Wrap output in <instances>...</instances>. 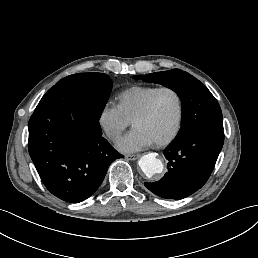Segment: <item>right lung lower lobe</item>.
<instances>
[{"mask_svg": "<svg viewBox=\"0 0 258 258\" xmlns=\"http://www.w3.org/2000/svg\"><path fill=\"white\" fill-rule=\"evenodd\" d=\"M89 90L75 84L53 86L28 123L29 154L43 184L71 203L90 197L109 165L123 157L102 137L99 119L89 110Z\"/></svg>", "mask_w": 258, "mask_h": 258, "instance_id": "1", "label": "right lung lower lobe"}]
</instances>
